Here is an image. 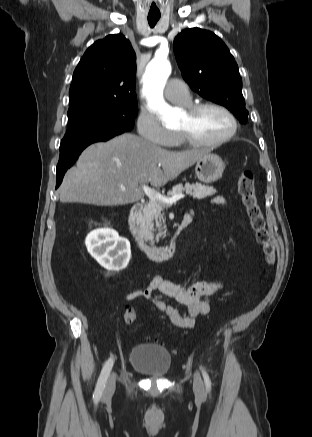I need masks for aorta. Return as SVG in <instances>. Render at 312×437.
<instances>
[{
  "instance_id": "aorta-1",
  "label": "aorta",
  "mask_w": 312,
  "mask_h": 437,
  "mask_svg": "<svg viewBox=\"0 0 312 437\" xmlns=\"http://www.w3.org/2000/svg\"><path fill=\"white\" fill-rule=\"evenodd\" d=\"M170 73V63L164 58L155 57L147 65L143 76L142 92L148 99L150 109L158 113L164 124L175 119L173 108L163 98V90Z\"/></svg>"
}]
</instances>
